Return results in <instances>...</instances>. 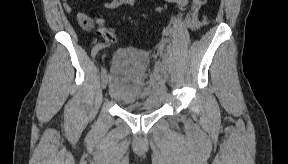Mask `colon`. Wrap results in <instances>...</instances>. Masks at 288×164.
Returning <instances> with one entry per match:
<instances>
[{
  "label": "colon",
  "instance_id": "colon-1",
  "mask_svg": "<svg viewBox=\"0 0 288 164\" xmlns=\"http://www.w3.org/2000/svg\"><path fill=\"white\" fill-rule=\"evenodd\" d=\"M93 18L96 19V21L98 22V20L101 18V15L99 13H96ZM96 35L97 37H100L101 39L112 43V46L116 45V34L111 29H109L106 24L103 23L96 26Z\"/></svg>",
  "mask_w": 288,
  "mask_h": 164
}]
</instances>
